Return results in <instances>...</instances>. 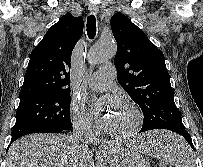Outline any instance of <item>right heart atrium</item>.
<instances>
[{
	"mask_svg": "<svg viewBox=\"0 0 203 167\" xmlns=\"http://www.w3.org/2000/svg\"><path fill=\"white\" fill-rule=\"evenodd\" d=\"M72 122L73 126L81 131H90L94 128L91 116L85 111L79 101L72 102Z\"/></svg>",
	"mask_w": 203,
	"mask_h": 167,
	"instance_id": "obj_1",
	"label": "right heart atrium"
}]
</instances>
